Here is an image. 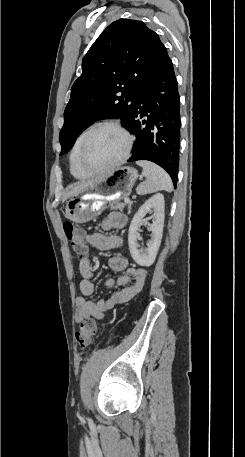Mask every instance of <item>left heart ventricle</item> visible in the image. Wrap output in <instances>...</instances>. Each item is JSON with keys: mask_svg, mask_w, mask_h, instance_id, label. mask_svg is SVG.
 I'll list each match as a JSON object with an SVG mask.
<instances>
[{"mask_svg": "<svg viewBox=\"0 0 245 457\" xmlns=\"http://www.w3.org/2000/svg\"><path fill=\"white\" fill-rule=\"evenodd\" d=\"M125 139L111 129L97 132L83 152V162L90 170L112 164L123 152Z\"/></svg>", "mask_w": 245, "mask_h": 457, "instance_id": "b2bd125f", "label": "left heart ventricle"}]
</instances>
